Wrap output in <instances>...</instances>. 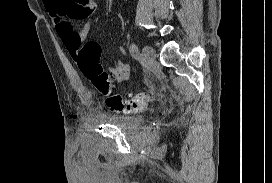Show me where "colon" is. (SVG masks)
Wrapping results in <instances>:
<instances>
[{
  "label": "colon",
  "instance_id": "1",
  "mask_svg": "<svg viewBox=\"0 0 272 183\" xmlns=\"http://www.w3.org/2000/svg\"><path fill=\"white\" fill-rule=\"evenodd\" d=\"M101 47L97 42H87L80 50L77 63L83 75L94 85L106 104L115 111L136 113L145 108L150 100L148 93L122 97L112 93L111 80L99 63Z\"/></svg>",
  "mask_w": 272,
  "mask_h": 183
}]
</instances>
